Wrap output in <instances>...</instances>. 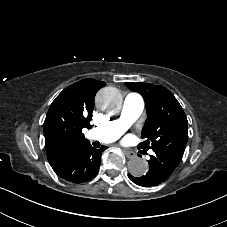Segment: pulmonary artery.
<instances>
[{
	"label": "pulmonary artery",
	"mask_w": 227,
	"mask_h": 227,
	"mask_svg": "<svg viewBox=\"0 0 227 227\" xmlns=\"http://www.w3.org/2000/svg\"><path fill=\"white\" fill-rule=\"evenodd\" d=\"M145 103V97L139 90H130L124 100L121 117L116 120L108 121L97 128L88 129L86 131L87 138L101 142L116 140L140 115Z\"/></svg>",
	"instance_id": "pulmonary-artery-1"
}]
</instances>
